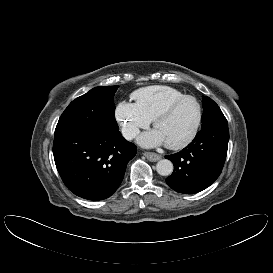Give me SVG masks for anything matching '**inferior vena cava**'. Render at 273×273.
Listing matches in <instances>:
<instances>
[{
    "label": "inferior vena cava",
    "instance_id": "inferior-vena-cava-1",
    "mask_svg": "<svg viewBox=\"0 0 273 273\" xmlns=\"http://www.w3.org/2000/svg\"><path fill=\"white\" fill-rule=\"evenodd\" d=\"M138 131L135 128H124L122 129V135L126 140H132L136 137Z\"/></svg>",
    "mask_w": 273,
    "mask_h": 273
}]
</instances>
